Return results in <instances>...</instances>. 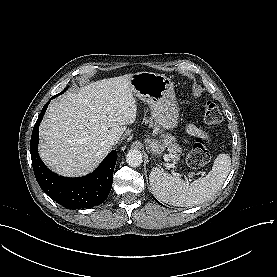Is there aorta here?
<instances>
[{
  "label": "aorta",
  "mask_w": 277,
  "mask_h": 277,
  "mask_svg": "<svg viewBox=\"0 0 277 277\" xmlns=\"http://www.w3.org/2000/svg\"><path fill=\"white\" fill-rule=\"evenodd\" d=\"M126 162L131 167H138L143 162V155L138 149H131L126 154Z\"/></svg>",
  "instance_id": "1"
}]
</instances>
